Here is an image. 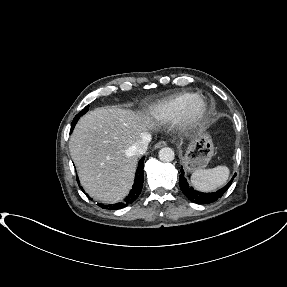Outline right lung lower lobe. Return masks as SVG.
Here are the masks:
<instances>
[{
    "mask_svg": "<svg viewBox=\"0 0 287 287\" xmlns=\"http://www.w3.org/2000/svg\"><path fill=\"white\" fill-rule=\"evenodd\" d=\"M73 129H74V127L73 128L71 127V132ZM144 159H145V157L141 158V160L138 163V168L136 171L133 187H132L130 193L128 194V196L125 198V200L120 202V203H116V204H112V205L100 204V206L103 209H110V210L122 209V208L128 206L129 204L133 203L138 198V196L141 193V190L143 187V181H144V172H143Z\"/></svg>",
    "mask_w": 287,
    "mask_h": 287,
    "instance_id": "98d812e1",
    "label": "right lung lower lobe"
}]
</instances>
